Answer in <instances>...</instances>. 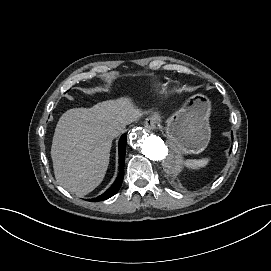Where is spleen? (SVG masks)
Instances as JSON below:
<instances>
[{"instance_id": "obj_1", "label": "spleen", "mask_w": 271, "mask_h": 271, "mask_svg": "<svg viewBox=\"0 0 271 271\" xmlns=\"http://www.w3.org/2000/svg\"><path fill=\"white\" fill-rule=\"evenodd\" d=\"M209 162L208 158H203V159H193V160H186L184 162V164L186 165V167L188 168H192V169H198L201 167H205Z\"/></svg>"}]
</instances>
